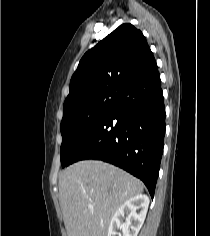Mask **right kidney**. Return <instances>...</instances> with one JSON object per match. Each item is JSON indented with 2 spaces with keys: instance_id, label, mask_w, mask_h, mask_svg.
Instances as JSON below:
<instances>
[{
  "instance_id": "right-kidney-1",
  "label": "right kidney",
  "mask_w": 210,
  "mask_h": 236,
  "mask_svg": "<svg viewBox=\"0 0 210 236\" xmlns=\"http://www.w3.org/2000/svg\"><path fill=\"white\" fill-rule=\"evenodd\" d=\"M149 202L147 195L140 194L123 203L111 219L107 236H121L119 230H122L123 236H137L144 223ZM123 219H126L125 223Z\"/></svg>"
}]
</instances>
